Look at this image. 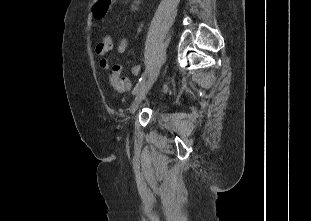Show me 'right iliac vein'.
Here are the masks:
<instances>
[{"label":"right iliac vein","mask_w":311,"mask_h":221,"mask_svg":"<svg viewBox=\"0 0 311 221\" xmlns=\"http://www.w3.org/2000/svg\"><path fill=\"white\" fill-rule=\"evenodd\" d=\"M158 75H159V70H157L154 73V75L148 81L144 82L142 84V86L140 87V89L137 91L136 96H135V98L131 104V107H130V113L131 114H134L136 112L140 103L145 98L146 94L148 93V91L152 87L153 83L156 81Z\"/></svg>","instance_id":"1"}]
</instances>
